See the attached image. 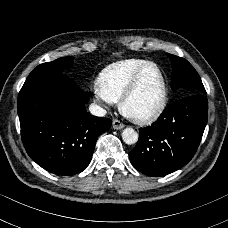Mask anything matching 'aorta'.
I'll return each mask as SVG.
<instances>
[{
    "label": "aorta",
    "mask_w": 228,
    "mask_h": 228,
    "mask_svg": "<svg viewBox=\"0 0 228 228\" xmlns=\"http://www.w3.org/2000/svg\"><path fill=\"white\" fill-rule=\"evenodd\" d=\"M123 142L127 145H133L138 142V134L132 128H127L122 133Z\"/></svg>",
    "instance_id": "1"
}]
</instances>
